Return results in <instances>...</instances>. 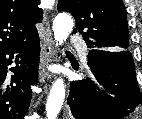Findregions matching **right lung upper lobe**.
Returning <instances> with one entry per match:
<instances>
[{
    "mask_svg": "<svg viewBox=\"0 0 142 119\" xmlns=\"http://www.w3.org/2000/svg\"><path fill=\"white\" fill-rule=\"evenodd\" d=\"M39 0H0V50L16 46L37 33L43 18Z\"/></svg>",
    "mask_w": 142,
    "mask_h": 119,
    "instance_id": "cb5924a9",
    "label": "right lung upper lobe"
}]
</instances>
